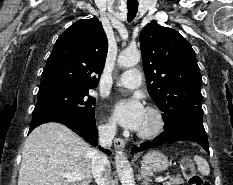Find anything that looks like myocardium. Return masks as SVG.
<instances>
[{"label": "myocardium", "mask_w": 233, "mask_h": 185, "mask_svg": "<svg viewBox=\"0 0 233 185\" xmlns=\"http://www.w3.org/2000/svg\"><path fill=\"white\" fill-rule=\"evenodd\" d=\"M146 111L149 112L155 119L154 126L147 131H138L137 136L142 139H153L157 137L165 127V117L163 112L154 106H148Z\"/></svg>", "instance_id": "myocardium-1"}]
</instances>
